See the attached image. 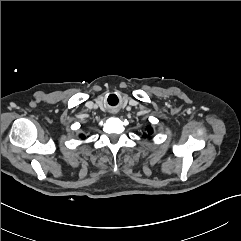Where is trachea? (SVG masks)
I'll use <instances>...</instances> for the list:
<instances>
[{"mask_svg": "<svg viewBox=\"0 0 241 241\" xmlns=\"http://www.w3.org/2000/svg\"><path fill=\"white\" fill-rule=\"evenodd\" d=\"M108 103L111 106H116L119 103V96L116 93H111L108 96Z\"/></svg>", "mask_w": 241, "mask_h": 241, "instance_id": "1", "label": "trachea"}]
</instances>
